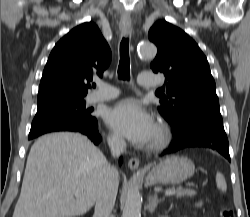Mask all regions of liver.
I'll return each instance as SVG.
<instances>
[{"instance_id": "obj_1", "label": "liver", "mask_w": 250, "mask_h": 217, "mask_svg": "<svg viewBox=\"0 0 250 217\" xmlns=\"http://www.w3.org/2000/svg\"><path fill=\"white\" fill-rule=\"evenodd\" d=\"M104 154L81 134L40 137L29 152L13 217H73L94 205Z\"/></svg>"}]
</instances>
